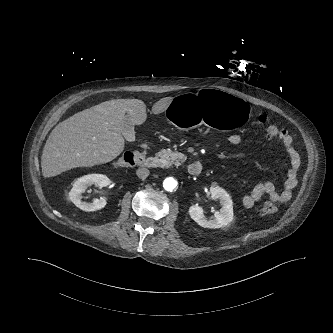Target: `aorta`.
<instances>
[{
  "mask_svg": "<svg viewBox=\"0 0 333 333\" xmlns=\"http://www.w3.org/2000/svg\"><path fill=\"white\" fill-rule=\"evenodd\" d=\"M163 187L167 191H172L177 187V181L172 177H168L164 180Z\"/></svg>",
  "mask_w": 333,
  "mask_h": 333,
  "instance_id": "obj_1",
  "label": "aorta"
}]
</instances>
